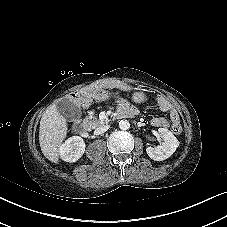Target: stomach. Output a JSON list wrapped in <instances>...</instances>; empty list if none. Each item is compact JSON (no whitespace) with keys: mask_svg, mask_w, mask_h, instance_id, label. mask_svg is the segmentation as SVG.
Here are the masks:
<instances>
[{"mask_svg":"<svg viewBox=\"0 0 227 227\" xmlns=\"http://www.w3.org/2000/svg\"><path fill=\"white\" fill-rule=\"evenodd\" d=\"M132 100L135 103H142L146 100V96L142 92H136V93L133 94Z\"/></svg>","mask_w":227,"mask_h":227,"instance_id":"obj_1","label":"stomach"}]
</instances>
